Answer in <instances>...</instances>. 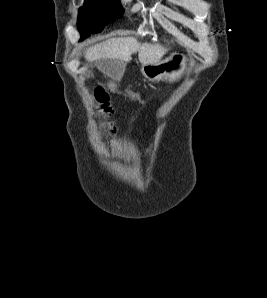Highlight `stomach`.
I'll return each mask as SVG.
<instances>
[{
    "mask_svg": "<svg viewBox=\"0 0 267 298\" xmlns=\"http://www.w3.org/2000/svg\"><path fill=\"white\" fill-rule=\"evenodd\" d=\"M187 70V58L181 54H174L156 64L142 65L141 72L149 81L169 80L171 82L181 78Z\"/></svg>",
    "mask_w": 267,
    "mask_h": 298,
    "instance_id": "1",
    "label": "stomach"
}]
</instances>
